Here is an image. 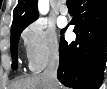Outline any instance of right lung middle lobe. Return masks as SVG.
<instances>
[{"instance_id": "dd1d6c3e", "label": "right lung middle lobe", "mask_w": 107, "mask_h": 89, "mask_svg": "<svg viewBox=\"0 0 107 89\" xmlns=\"http://www.w3.org/2000/svg\"><path fill=\"white\" fill-rule=\"evenodd\" d=\"M29 24L30 23L19 26V27L11 28V52L15 58L17 57V47H18L20 34ZM13 65L16 68L17 61H15Z\"/></svg>"}]
</instances>
